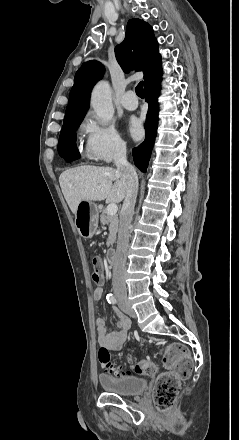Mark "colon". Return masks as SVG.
Wrapping results in <instances>:
<instances>
[{
    "label": "colon",
    "mask_w": 239,
    "mask_h": 440,
    "mask_svg": "<svg viewBox=\"0 0 239 440\" xmlns=\"http://www.w3.org/2000/svg\"><path fill=\"white\" fill-rule=\"evenodd\" d=\"M92 266L93 281L97 284L103 283L104 272L101 261L96 257L93 258ZM98 359L100 364L115 376H124L128 373L123 366L111 361L107 349L99 350ZM163 361L166 371L156 378L153 389L155 404L161 411L173 405L179 391L180 381L188 377L192 370V362L187 350L178 344L169 345L164 349ZM134 372L139 375H153L157 372V365L152 360H140L135 363Z\"/></svg>",
    "instance_id": "obj_1"
}]
</instances>
